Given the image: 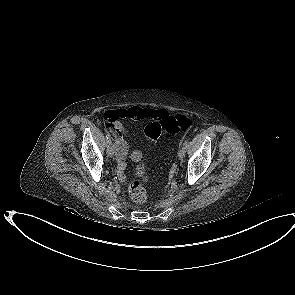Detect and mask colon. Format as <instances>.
Wrapping results in <instances>:
<instances>
[{
	"mask_svg": "<svg viewBox=\"0 0 295 295\" xmlns=\"http://www.w3.org/2000/svg\"><path fill=\"white\" fill-rule=\"evenodd\" d=\"M192 126V120L185 115L166 116L162 121L150 123L146 129L143 130L145 139L149 143H157L160 135H174L179 132L187 131ZM145 163L137 166V174L147 179ZM130 198L139 204L147 201V193L138 181H132L128 187Z\"/></svg>",
	"mask_w": 295,
	"mask_h": 295,
	"instance_id": "colon-1",
	"label": "colon"
}]
</instances>
